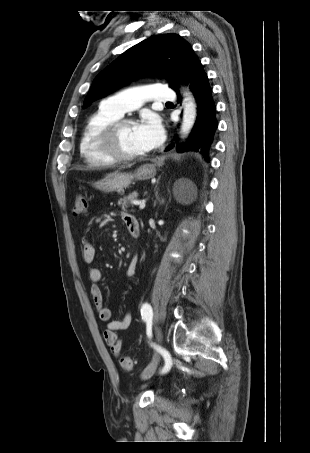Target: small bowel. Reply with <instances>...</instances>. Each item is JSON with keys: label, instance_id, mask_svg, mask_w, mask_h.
<instances>
[{"label": "small bowel", "instance_id": "1", "mask_svg": "<svg viewBox=\"0 0 310 453\" xmlns=\"http://www.w3.org/2000/svg\"><path fill=\"white\" fill-rule=\"evenodd\" d=\"M121 217L127 229L132 225L139 224L138 220L133 215L127 212H123L121 214ZM94 257H95L94 246L87 240H84L82 244V259L86 264L89 265V267L87 268V277L89 281L92 283L90 287V295L100 320L107 322V328L103 333L104 340L106 344L109 346L112 354L114 356H119L122 351V344L117 335V332L127 330L131 324L132 317L130 313H126L120 319L115 320L112 319L111 311L109 308L105 306L102 292L99 286L97 285L102 280V271L99 267L90 265L93 262ZM137 264L138 256L133 255L125 271L124 274L125 278H131L132 276H134Z\"/></svg>", "mask_w": 310, "mask_h": 453}]
</instances>
